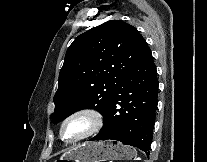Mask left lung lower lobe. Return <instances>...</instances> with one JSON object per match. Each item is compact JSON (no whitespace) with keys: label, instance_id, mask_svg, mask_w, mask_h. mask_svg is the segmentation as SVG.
<instances>
[{"label":"left lung lower lobe","instance_id":"left-lung-lower-lobe-1","mask_svg":"<svg viewBox=\"0 0 207 162\" xmlns=\"http://www.w3.org/2000/svg\"><path fill=\"white\" fill-rule=\"evenodd\" d=\"M158 79L149 50L117 89L104 115L105 125L90 140H116L149 155L157 108Z\"/></svg>","mask_w":207,"mask_h":162}]
</instances>
